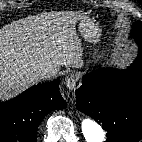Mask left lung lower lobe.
I'll return each instance as SVG.
<instances>
[{
	"mask_svg": "<svg viewBox=\"0 0 142 142\" xmlns=\"http://www.w3.org/2000/svg\"><path fill=\"white\" fill-rule=\"evenodd\" d=\"M76 107L103 125L105 142L141 140L142 52L127 70L110 68L85 74L76 90Z\"/></svg>",
	"mask_w": 142,
	"mask_h": 142,
	"instance_id": "left-lung-lower-lobe-1",
	"label": "left lung lower lobe"
}]
</instances>
